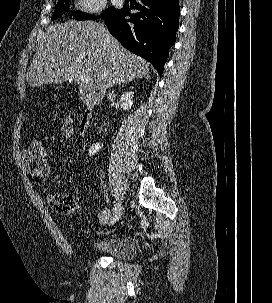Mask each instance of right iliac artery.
<instances>
[{
  "instance_id": "right-iliac-artery-1",
  "label": "right iliac artery",
  "mask_w": 272,
  "mask_h": 303,
  "mask_svg": "<svg viewBox=\"0 0 272 303\" xmlns=\"http://www.w3.org/2000/svg\"><path fill=\"white\" fill-rule=\"evenodd\" d=\"M111 209H112L111 214H112V215H116V214H117V209H118V208H117V203H116L114 206H112Z\"/></svg>"
}]
</instances>
